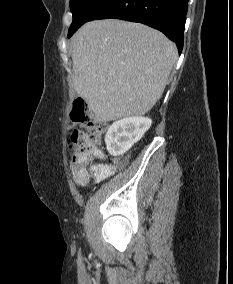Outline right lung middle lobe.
<instances>
[{
	"instance_id": "dd1d6c3e",
	"label": "right lung middle lobe",
	"mask_w": 233,
	"mask_h": 284,
	"mask_svg": "<svg viewBox=\"0 0 233 284\" xmlns=\"http://www.w3.org/2000/svg\"><path fill=\"white\" fill-rule=\"evenodd\" d=\"M108 0H70V9L73 14V22L68 31V37L85 22L92 14Z\"/></svg>"
}]
</instances>
